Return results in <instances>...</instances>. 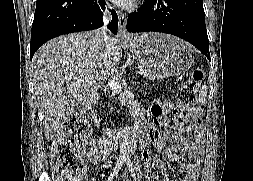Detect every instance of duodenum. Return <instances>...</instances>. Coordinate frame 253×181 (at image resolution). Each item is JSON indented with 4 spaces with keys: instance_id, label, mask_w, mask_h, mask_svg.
<instances>
[{
    "instance_id": "duodenum-1",
    "label": "duodenum",
    "mask_w": 253,
    "mask_h": 181,
    "mask_svg": "<svg viewBox=\"0 0 253 181\" xmlns=\"http://www.w3.org/2000/svg\"><path fill=\"white\" fill-rule=\"evenodd\" d=\"M93 102H94V100L92 99V100L87 101L85 104H83L82 107H81V112L85 115H89L91 105H92ZM112 135L114 137H122V136H125V135L130 136L131 132L126 130V129H118V130L113 131Z\"/></svg>"
}]
</instances>
